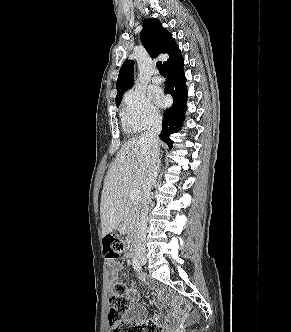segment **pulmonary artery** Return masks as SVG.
Instances as JSON below:
<instances>
[{"label": "pulmonary artery", "mask_w": 291, "mask_h": 332, "mask_svg": "<svg viewBox=\"0 0 291 332\" xmlns=\"http://www.w3.org/2000/svg\"><path fill=\"white\" fill-rule=\"evenodd\" d=\"M152 81L155 84H160V83H162V77L159 76L157 73H155L154 76L152 77Z\"/></svg>", "instance_id": "pulmonary-artery-1"}]
</instances>
